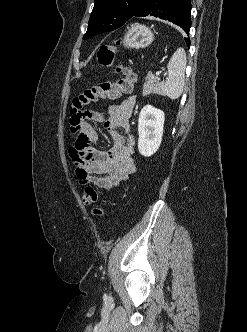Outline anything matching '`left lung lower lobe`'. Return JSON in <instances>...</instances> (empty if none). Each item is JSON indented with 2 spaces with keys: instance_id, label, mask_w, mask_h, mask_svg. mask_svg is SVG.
Segmentation results:
<instances>
[{
  "instance_id": "1",
  "label": "left lung lower lobe",
  "mask_w": 247,
  "mask_h": 332,
  "mask_svg": "<svg viewBox=\"0 0 247 332\" xmlns=\"http://www.w3.org/2000/svg\"><path fill=\"white\" fill-rule=\"evenodd\" d=\"M191 2L190 0H146L136 11L133 17L154 16L168 20L180 26L189 35L191 27ZM187 46L190 39L185 38Z\"/></svg>"
}]
</instances>
